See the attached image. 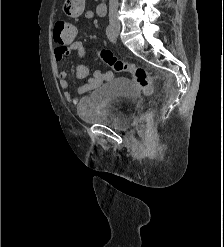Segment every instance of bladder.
<instances>
[{
	"mask_svg": "<svg viewBox=\"0 0 224 247\" xmlns=\"http://www.w3.org/2000/svg\"><path fill=\"white\" fill-rule=\"evenodd\" d=\"M138 104L139 96L133 81L117 77L82 98L76 113L87 124L125 131L134 121Z\"/></svg>",
	"mask_w": 224,
	"mask_h": 247,
	"instance_id": "31cf9c89",
	"label": "bladder"
}]
</instances>
